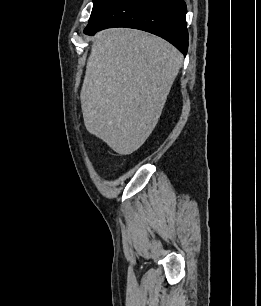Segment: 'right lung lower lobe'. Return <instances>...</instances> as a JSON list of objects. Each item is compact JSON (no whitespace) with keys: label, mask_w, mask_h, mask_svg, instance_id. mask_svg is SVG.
Masks as SVG:
<instances>
[{"label":"right lung lower lobe","mask_w":261,"mask_h":306,"mask_svg":"<svg viewBox=\"0 0 261 306\" xmlns=\"http://www.w3.org/2000/svg\"><path fill=\"white\" fill-rule=\"evenodd\" d=\"M127 27L158 35L178 48L184 55L188 49L186 4L184 0H112L90 22L84 33Z\"/></svg>","instance_id":"right-lung-lower-lobe-1"}]
</instances>
